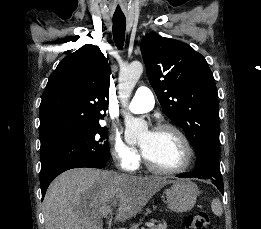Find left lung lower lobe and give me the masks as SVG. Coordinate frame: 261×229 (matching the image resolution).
<instances>
[{
	"mask_svg": "<svg viewBox=\"0 0 261 229\" xmlns=\"http://www.w3.org/2000/svg\"><path fill=\"white\" fill-rule=\"evenodd\" d=\"M196 168L193 172L182 173L178 177H196L199 179H211L217 188L224 193L222 175L220 173L219 150L217 148H208L197 156Z\"/></svg>",
	"mask_w": 261,
	"mask_h": 229,
	"instance_id": "1",
	"label": "left lung lower lobe"
}]
</instances>
